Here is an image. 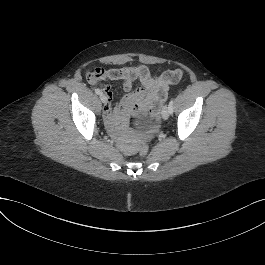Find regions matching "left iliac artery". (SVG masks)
Segmentation results:
<instances>
[{"instance_id":"left-iliac-artery-1","label":"left iliac artery","mask_w":265,"mask_h":265,"mask_svg":"<svg viewBox=\"0 0 265 265\" xmlns=\"http://www.w3.org/2000/svg\"><path fill=\"white\" fill-rule=\"evenodd\" d=\"M173 104H174V99H171L169 102V105H168V109H169L170 114L173 113Z\"/></svg>"}]
</instances>
